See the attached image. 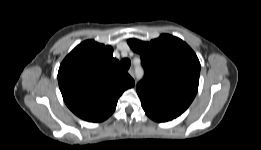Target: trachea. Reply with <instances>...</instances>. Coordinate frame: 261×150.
<instances>
[{
	"label": "trachea",
	"instance_id": "3493384b",
	"mask_svg": "<svg viewBox=\"0 0 261 150\" xmlns=\"http://www.w3.org/2000/svg\"><path fill=\"white\" fill-rule=\"evenodd\" d=\"M131 61L128 58H124L121 60V66L123 69L128 70L130 68Z\"/></svg>",
	"mask_w": 261,
	"mask_h": 150
}]
</instances>
